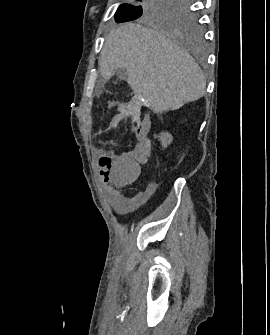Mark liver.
<instances>
[{"mask_svg": "<svg viewBox=\"0 0 270 335\" xmlns=\"http://www.w3.org/2000/svg\"><path fill=\"white\" fill-rule=\"evenodd\" d=\"M101 76L126 68L127 82L154 112L179 110L205 94L198 64L160 32L140 24H121L106 34L99 58Z\"/></svg>", "mask_w": 270, "mask_h": 335, "instance_id": "obj_1", "label": "liver"}]
</instances>
